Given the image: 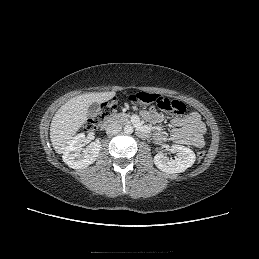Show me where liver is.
Instances as JSON below:
<instances>
[{"mask_svg":"<svg viewBox=\"0 0 259 259\" xmlns=\"http://www.w3.org/2000/svg\"><path fill=\"white\" fill-rule=\"evenodd\" d=\"M115 92L82 94L68 100L62 105L50 125V140L58 154H62L77 131L85 123L89 106L96 102L102 103L112 99Z\"/></svg>","mask_w":259,"mask_h":259,"instance_id":"1","label":"liver"}]
</instances>
